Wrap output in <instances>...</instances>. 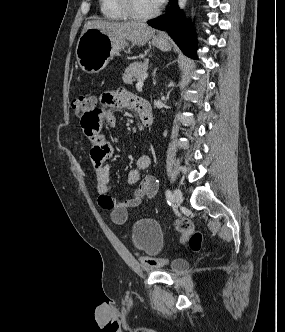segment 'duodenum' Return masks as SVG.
Segmentation results:
<instances>
[{
	"label": "duodenum",
	"mask_w": 285,
	"mask_h": 332,
	"mask_svg": "<svg viewBox=\"0 0 285 332\" xmlns=\"http://www.w3.org/2000/svg\"><path fill=\"white\" fill-rule=\"evenodd\" d=\"M137 109L141 124L145 127L151 126L153 115L149 102L144 99H137Z\"/></svg>",
	"instance_id": "410a0bca"
}]
</instances>
